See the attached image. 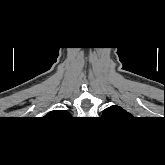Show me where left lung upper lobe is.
Segmentation results:
<instances>
[{"instance_id": "left-lung-upper-lobe-1", "label": "left lung upper lobe", "mask_w": 165, "mask_h": 165, "mask_svg": "<svg viewBox=\"0 0 165 165\" xmlns=\"http://www.w3.org/2000/svg\"><path fill=\"white\" fill-rule=\"evenodd\" d=\"M126 114L128 113L124 109L116 105L110 106L109 108H106L103 111V116H107V117L122 116V115L125 116Z\"/></svg>"}]
</instances>
